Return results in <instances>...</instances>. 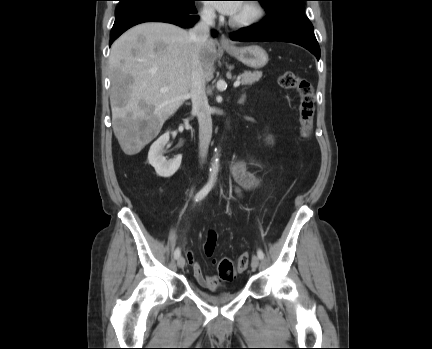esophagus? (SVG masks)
<instances>
[{"mask_svg":"<svg viewBox=\"0 0 432 349\" xmlns=\"http://www.w3.org/2000/svg\"><path fill=\"white\" fill-rule=\"evenodd\" d=\"M220 44L222 47H233V44L229 41V39L225 35H221Z\"/></svg>","mask_w":432,"mask_h":349,"instance_id":"34e87169","label":"esophagus"}]
</instances>
